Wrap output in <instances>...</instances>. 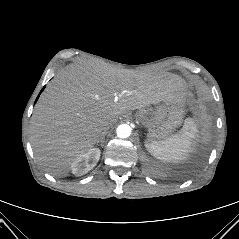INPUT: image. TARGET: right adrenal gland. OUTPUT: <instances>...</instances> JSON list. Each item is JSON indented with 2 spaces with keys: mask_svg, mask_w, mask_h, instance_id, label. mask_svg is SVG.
Returning a JSON list of instances; mask_svg holds the SVG:
<instances>
[{
  "mask_svg": "<svg viewBox=\"0 0 239 239\" xmlns=\"http://www.w3.org/2000/svg\"><path fill=\"white\" fill-rule=\"evenodd\" d=\"M107 134V131H104L102 133L101 138L96 142V144L98 145V143H101V147H103L104 141H105V135Z\"/></svg>",
  "mask_w": 239,
  "mask_h": 239,
  "instance_id": "2a0ac1e0",
  "label": "right adrenal gland"
}]
</instances>
